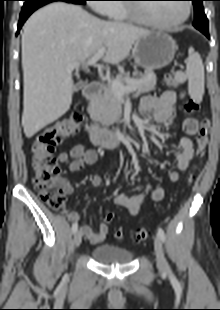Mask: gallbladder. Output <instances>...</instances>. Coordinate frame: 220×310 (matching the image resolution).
Returning a JSON list of instances; mask_svg holds the SVG:
<instances>
[{
	"instance_id": "bac80fb5",
	"label": "gallbladder",
	"mask_w": 220,
	"mask_h": 310,
	"mask_svg": "<svg viewBox=\"0 0 220 310\" xmlns=\"http://www.w3.org/2000/svg\"><path fill=\"white\" fill-rule=\"evenodd\" d=\"M84 86V83L83 82H77L75 85H74V91H79L80 89H82Z\"/></svg>"
}]
</instances>
